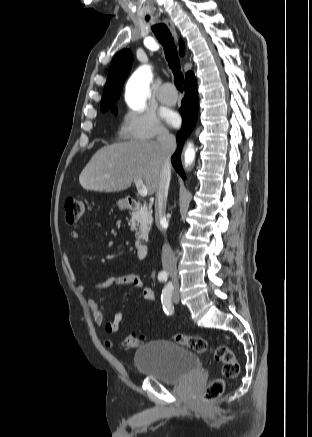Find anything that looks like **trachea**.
I'll list each match as a JSON object with an SVG mask.
<instances>
[{"label": "trachea", "instance_id": "obj_1", "mask_svg": "<svg viewBox=\"0 0 312 437\" xmlns=\"http://www.w3.org/2000/svg\"><path fill=\"white\" fill-rule=\"evenodd\" d=\"M149 16H146V20H149ZM152 31L157 37L158 41L162 44L165 51V57L168 61L169 67L174 73V83L179 91H183L184 76L180 71V61L177 54V48L174 44L173 38L167 26L165 24H156L152 26Z\"/></svg>", "mask_w": 312, "mask_h": 437}]
</instances>
